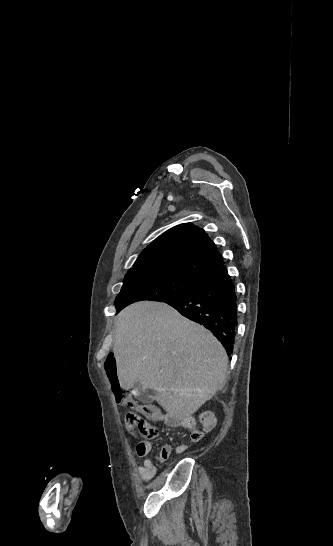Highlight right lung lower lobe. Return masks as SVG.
I'll use <instances>...</instances> for the list:
<instances>
[{
    "mask_svg": "<svg viewBox=\"0 0 333 546\" xmlns=\"http://www.w3.org/2000/svg\"><path fill=\"white\" fill-rule=\"evenodd\" d=\"M163 302L209 329L231 355L238 324L237 297L224 265L204 276L191 291Z\"/></svg>",
    "mask_w": 333,
    "mask_h": 546,
    "instance_id": "obj_1",
    "label": "right lung lower lobe"
}]
</instances>
